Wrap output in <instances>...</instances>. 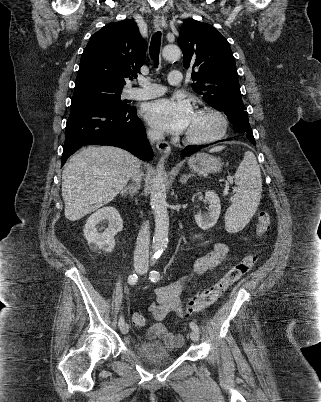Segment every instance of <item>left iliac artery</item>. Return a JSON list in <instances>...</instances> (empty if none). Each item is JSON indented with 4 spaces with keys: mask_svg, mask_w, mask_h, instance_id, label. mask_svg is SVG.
<instances>
[{
    "mask_svg": "<svg viewBox=\"0 0 321 402\" xmlns=\"http://www.w3.org/2000/svg\"><path fill=\"white\" fill-rule=\"evenodd\" d=\"M149 278H150V280H151L152 282H157V281L160 279V274H159L158 271L152 270V271L150 272ZM190 328H191L192 330L199 331L198 325H197L196 323H194V322H191V323H190Z\"/></svg>",
    "mask_w": 321,
    "mask_h": 402,
    "instance_id": "1",
    "label": "left iliac artery"
}]
</instances>
